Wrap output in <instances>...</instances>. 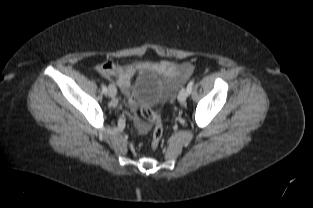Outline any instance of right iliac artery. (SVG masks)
Returning a JSON list of instances; mask_svg holds the SVG:
<instances>
[{"mask_svg":"<svg viewBox=\"0 0 313 208\" xmlns=\"http://www.w3.org/2000/svg\"><path fill=\"white\" fill-rule=\"evenodd\" d=\"M102 91H103L104 94L107 93V87L105 85L102 86Z\"/></svg>","mask_w":313,"mask_h":208,"instance_id":"obj_1","label":"right iliac artery"}]
</instances>
